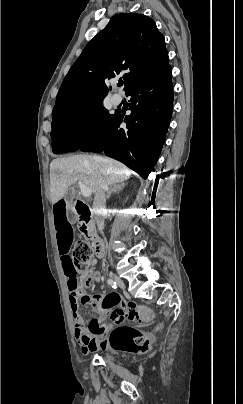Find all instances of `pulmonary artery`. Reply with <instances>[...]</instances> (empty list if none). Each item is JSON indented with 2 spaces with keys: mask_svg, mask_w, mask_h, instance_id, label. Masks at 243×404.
<instances>
[{
  "mask_svg": "<svg viewBox=\"0 0 243 404\" xmlns=\"http://www.w3.org/2000/svg\"><path fill=\"white\" fill-rule=\"evenodd\" d=\"M117 82H118V79H117V78L113 79V80H112V85H113L114 87H116ZM122 101H123V95H122L121 93H119V92H115L114 95H113V102H114V104H115V105H119V104L122 103Z\"/></svg>",
  "mask_w": 243,
  "mask_h": 404,
  "instance_id": "obj_1",
  "label": "pulmonary artery"
}]
</instances>
